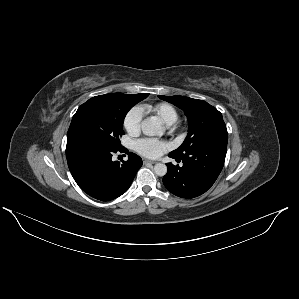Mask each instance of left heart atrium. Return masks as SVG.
Returning a JSON list of instances; mask_svg holds the SVG:
<instances>
[{
	"mask_svg": "<svg viewBox=\"0 0 299 299\" xmlns=\"http://www.w3.org/2000/svg\"><path fill=\"white\" fill-rule=\"evenodd\" d=\"M169 148L167 142L155 138H143L135 143V149L148 158H158Z\"/></svg>",
	"mask_w": 299,
	"mask_h": 299,
	"instance_id": "obj_1",
	"label": "left heart atrium"
}]
</instances>
